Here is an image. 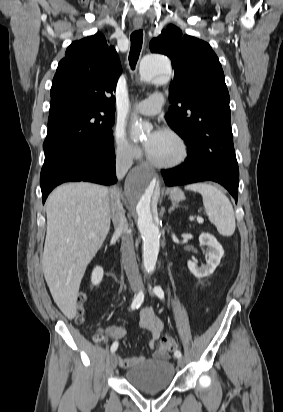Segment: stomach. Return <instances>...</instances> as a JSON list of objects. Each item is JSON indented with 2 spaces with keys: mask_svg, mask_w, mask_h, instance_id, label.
Segmentation results:
<instances>
[{
  "mask_svg": "<svg viewBox=\"0 0 283 412\" xmlns=\"http://www.w3.org/2000/svg\"><path fill=\"white\" fill-rule=\"evenodd\" d=\"M169 196L173 202H179L185 198L184 193L178 188L171 189Z\"/></svg>",
  "mask_w": 283,
  "mask_h": 412,
  "instance_id": "1",
  "label": "stomach"
}]
</instances>
